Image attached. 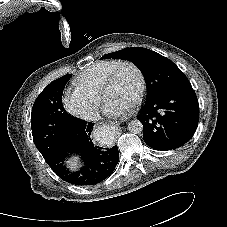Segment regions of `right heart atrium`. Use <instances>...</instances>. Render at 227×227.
<instances>
[{
	"instance_id": "1",
	"label": "right heart atrium",
	"mask_w": 227,
	"mask_h": 227,
	"mask_svg": "<svg viewBox=\"0 0 227 227\" xmlns=\"http://www.w3.org/2000/svg\"><path fill=\"white\" fill-rule=\"evenodd\" d=\"M62 103L65 110L78 118L95 120L98 117L100 98L80 90H66Z\"/></svg>"
}]
</instances>
